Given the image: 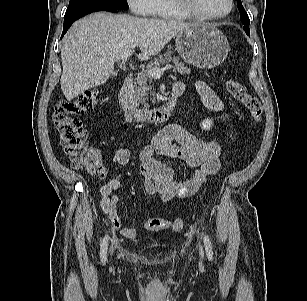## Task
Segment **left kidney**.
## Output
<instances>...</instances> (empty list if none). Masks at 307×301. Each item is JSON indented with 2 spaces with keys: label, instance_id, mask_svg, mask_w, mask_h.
<instances>
[{
  "label": "left kidney",
  "instance_id": "5707ae66",
  "mask_svg": "<svg viewBox=\"0 0 307 301\" xmlns=\"http://www.w3.org/2000/svg\"><path fill=\"white\" fill-rule=\"evenodd\" d=\"M213 121L209 118L205 119L201 123V128L204 130H209L212 127Z\"/></svg>",
  "mask_w": 307,
  "mask_h": 301
}]
</instances>
